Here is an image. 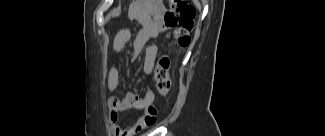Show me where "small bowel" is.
I'll return each mask as SVG.
<instances>
[{
  "label": "small bowel",
  "instance_id": "obj_1",
  "mask_svg": "<svg viewBox=\"0 0 325 136\" xmlns=\"http://www.w3.org/2000/svg\"><path fill=\"white\" fill-rule=\"evenodd\" d=\"M161 30L162 27L157 23L156 17L151 16L144 22L133 40L135 55H138L144 50L143 70L146 75L151 73L158 52L157 46L151 45L149 42L158 38ZM130 38L131 30L129 28L121 29L116 34L113 42V64L107 76V89L110 94L108 99L109 115L112 122V129L116 136L137 135L156 122L157 111L153 106L155 100V93L153 90L146 91L142 96L137 92H128L123 97L115 95L119 83V71L116 62ZM128 109L142 110L145 114L133 125L122 127L118 123V116L120 112Z\"/></svg>",
  "mask_w": 325,
  "mask_h": 136
}]
</instances>
